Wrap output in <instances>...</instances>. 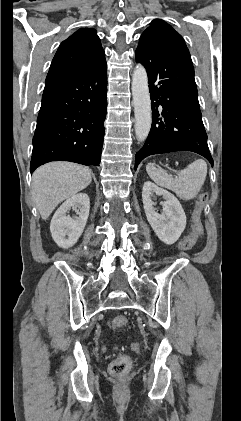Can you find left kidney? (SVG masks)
<instances>
[{"label": "left kidney", "instance_id": "obj_1", "mask_svg": "<svg viewBox=\"0 0 241 421\" xmlns=\"http://www.w3.org/2000/svg\"><path fill=\"white\" fill-rule=\"evenodd\" d=\"M155 194L165 200L161 203L163 206L161 214L154 207L152 199ZM142 201L147 220L158 238L168 245L175 243L186 226V215L179 200L167 190L147 181L143 185Z\"/></svg>", "mask_w": 241, "mask_h": 421}]
</instances>
